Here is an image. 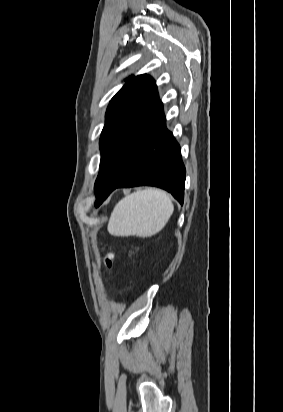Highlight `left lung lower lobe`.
Returning <instances> with one entry per match:
<instances>
[{
    "label": "left lung lower lobe",
    "mask_w": 283,
    "mask_h": 412,
    "mask_svg": "<svg viewBox=\"0 0 283 412\" xmlns=\"http://www.w3.org/2000/svg\"><path fill=\"white\" fill-rule=\"evenodd\" d=\"M131 160L115 158L101 152L97 181L100 192L96 197L98 207L119 187L156 186L170 192L181 204L184 200L185 167L180 146L166 128L165 118L156 126L150 145L134 169Z\"/></svg>",
    "instance_id": "1"
}]
</instances>
